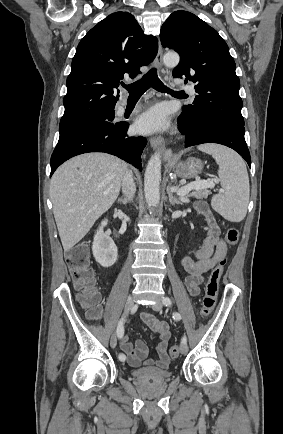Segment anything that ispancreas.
I'll return each instance as SVG.
<instances>
[{
    "instance_id": "obj_1",
    "label": "pancreas",
    "mask_w": 283,
    "mask_h": 434,
    "mask_svg": "<svg viewBox=\"0 0 283 434\" xmlns=\"http://www.w3.org/2000/svg\"><path fill=\"white\" fill-rule=\"evenodd\" d=\"M211 192L208 190V187H200L192 189V192L186 195L187 197H195L197 199L207 198Z\"/></svg>"
}]
</instances>
